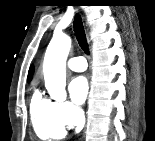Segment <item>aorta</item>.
<instances>
[{
    "label": "aorta",
    "mask_w": 155,
    "mask_h": 141,
    "mask_svg": "<svg viewBox=\"0 0 155 141\" xmlns=\"http://www.w3.org/2000/svg\"><path fill=\"white\" fill-rule=\"evenodd\" d=\"M71 38L64 33H54L45 53L43 73L45 87L50 97L57 101L66 99V60Z\"/></svg>",
    "instance_id": "aorta-1"
}]
</instances>
